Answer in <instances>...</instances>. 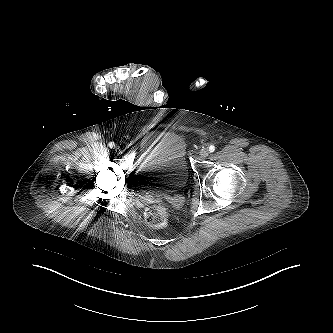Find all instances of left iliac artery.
Returning <instances> with one entry per match:
<instances>
[{
    "label": "left iliac artery",
    "instance_id": "obj_1",
    "mask_svg": "<svg viewBox=\"0 0 333 333\" xmlns=\"http://www.w3.org/2000/svg\"><path fill=\"white\" fill-rule=\"evenodd\" d=\"M209 151L214 152L215 151V146L214 145L209 146Z\"/></svg>",
    "mask_w": 333,
    "mask_h": 333
}]
</instances>
